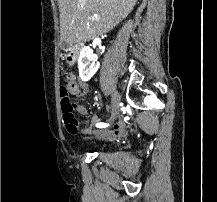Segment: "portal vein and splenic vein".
<instances>
[{
  "label": "portal vein and splenic vein",
  "instance_id": "18ae733b",
  "mask_svg": "<svg viewBox=\"0 0 217 202\" xmlns=\"http://www.w3.org/2000/svg\"><path fill=\"white\" fill-rule=\"evenodd\" d=\"M93 20H100V18H97V14H95Z\"/></svg>",
  "mask_w": 217,
  "mask_h": 202
}]
</instances>
